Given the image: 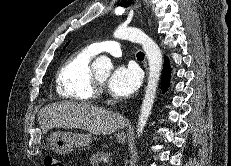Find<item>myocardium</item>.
Returning <instances> with one entry per match:
<instances>
[{"mask_svg": "<svg viewBox=\"0 0 231 166\" xmlns=\"http://www.w3.org/2000/svg\"><path fill=\"white\" fill-rule=\"evenodd\" d=\"M92 83L94 88V96L100 94L102 92L103 82H101L97 76L92 74Z\"/></svg>", "mask_w": 231, "mask_h": 166, "instance_id": "myocardium-1", "label": "myocardium"}]
</instances>
